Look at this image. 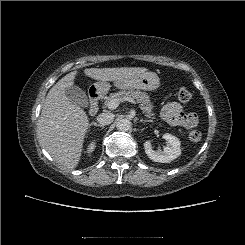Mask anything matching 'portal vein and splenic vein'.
<instances>
[{
	"label": "portal vein and splenic vein",
	"instance_id": "1",
	"mask_svg": "<svg viewBox=\"0 0 245 245\" xmlns=\"http://www.w3.org/2000/svg\"><path fill=\"white\" fill-rule=\"evenodd\" d=\"M124 101L131 102L133 104H137L136 101L133 98L127 97L124 99ZM120 104V100L118 99H112L108 102L107 107L111 110L116 109Z\"/></svg>",
	"mask_w": 245,
	"mask_h": 245
}]
</instances>
